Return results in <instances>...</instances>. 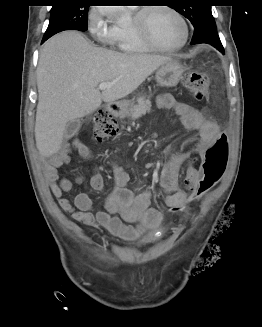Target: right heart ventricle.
Listing matches in <instances>:
<instances>
[{
	"label": "right heart ventricle",
	"mask_w": 262,
	"mask_h": 327,
	"mask_svg": "<svg viewBox=\"0 0 262 327\" xmlns=\"http://www.w3.org/2000/svg\"><path fill=\"white\" fill-rule=\"evenodd\" d=\"M115 45L123 52L143 54L153 51L147 46L132 28L131 24H116L115 26Z\"/></svg>",
	"instance_id": "e07e8e85"
}]
</instances>
